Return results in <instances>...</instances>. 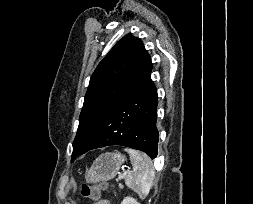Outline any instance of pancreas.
<instances>
[{
  "label": "pancreas",
  "mask_w": 253,
  "mask_h": 204,
  "mask_svg": "<svg viewBox=\"0 0 253 204\" xmlns=\"http://www.w3.org/2000/svg\"><path fill=\"white\" fill-rule=\"evenodd\" d=\"M119 187H120V188H123V186H122V185H119Z\"/></svg>",
  "instance_id": "pancreas-1"
}]
</instances>
